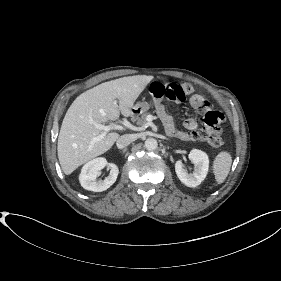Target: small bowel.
Segmentation results:
<instances>
[{
	"instance_id": "c3829d8e",
	"label": "small bowel",
	"mask_w": 281,
	"mask_h": 281,
	"mask_svg": "<svg viewBox=\"0 0 281 281\" xmlns=\"http://www.w3.org/2000/svg\"><path fill=\"white\" fill-rule=\"evenodd\" d=\"M190 106L197 110H205L210 108V102L200 94H193L189 99ZM156 111L161 119L165 131L168 135L176 137L180 140H194L198 132V125L194 118H188L183 122L184 129H178L172 117L166 111L164 105L157 101L155 103Z\"/></svg>"
}]
</instances>
